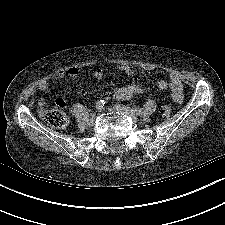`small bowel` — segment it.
<instances>
[{
    "label": "small bowel",
    "mask_w": 225,
    "mask_h": 225,
    "mask_svg": "<svg viewBox=\"0 0 225 225\" xmlns=\"http://www.w3.org/2000/svg\"><path fill=\"white\" fill-rule=\"evenodd\" d=\"M119 69L121 72H123L125 75L129 77L133 75V70L129 65H125V64L121 65ZM79 73H80V69L76 66H72L67 69H60L56 71L55 77L57 79H63L65 77L76 78L79 75ZM92 76L95 79H100L102 77V70L100 68H94L92 70ZM168 86L171 89L173 100L176 103H180L183 99L182 83L180 79L176 76H173L171 78L170 84H168L165 80H160L158 82V87L162 90L166 89ZM49 88H50L49 83L46 80H42L38 85V89L41 92H47L49 91ZM141 91H142L141 87L137 84L122 86L115 90L114 98L121 101L129 100L134 95L139 94ZM59 101H64V100L62 98H59L57 99V102ZM44 106H45L44 100L42 99L39 100V107L41 110L44 108Z\"/></svg>",
    "instance_id": "1"
}]
</instances>
